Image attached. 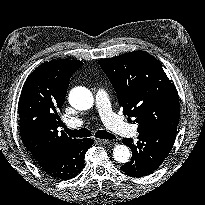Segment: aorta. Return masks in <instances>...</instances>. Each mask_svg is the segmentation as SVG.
I'll list each match as a JSON object with an SVG mask.
<instances>
[{
	"label": "aorta",
	"mask_w": 205,
	"mask_h": 205,
	"mask_svg": "<svg viewBox=\"0 0 205 205\" xmlns=\"http://www.w3.org/2000/svg\"><path fill=\"white\" fill-rule=\"evenodd\" d=\"M69 103L77 110L85 111L92 108L94 98L90 90L85 87L73 88L68 97ZM113 158L119 163H126L130 159V151L125 145H117L113 149Z\"/></svg>",
	"instance_id": "aorta-1"
}]
</instances>
